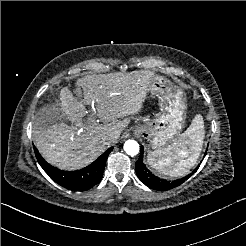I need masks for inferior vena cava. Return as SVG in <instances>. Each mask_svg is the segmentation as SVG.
Here are the masks:
<instances>
[{
  "label": "inferior vena cava",
  "instance_id": "1",
  "mask_svg": "<svg viewBox=\"0 0 246 246\" xmlns=\"http://www.w3.org/2000/svg\"><path fill=\"white\" fill-rule=\"evenodd\" d=\"M115 136V133H110L106 136V139H113Z\"/></svg>",
  "mask_w": 246,
  "mask_h": 246
}]
</instances>
